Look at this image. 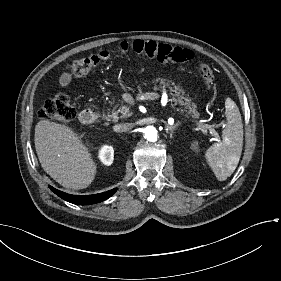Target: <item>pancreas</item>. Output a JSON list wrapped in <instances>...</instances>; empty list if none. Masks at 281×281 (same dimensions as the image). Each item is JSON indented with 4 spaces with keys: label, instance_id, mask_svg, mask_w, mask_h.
Masks as SVG:
<instances>
[{
    "label": "pancreas",
    "instance_id": "1",
    "mask_svg": "<svg viewBox=\"0 0 281 281\" xmlns=\"http://www.w3.org/2000/svg\"><path fill=\"white\" fill-rule=\"evenodd\" d=\"M169 86H170V83L168 81H166L165 79L160 80V88L165 89L166 87H169ZM169 89H170V92H171L170 94L173 96L172 99H171V101L174 102V104H172V107L177 105V103H179L180 105H184V106H186V108H189V110H190L189 112L192 113L193 118H199V112L196 110V105L191 104L189 101L183 100L184 97L180 95V87L179 86L169 87ZM125 107L126 106L123 105L118 110L112 111V114L106 116V119L108 121L117 122L120 118H126V117L131 116V113L124 112ZM119 113H121L120 116H119Z\"/></svg>",
    "mask_w": 281,
    "mask_h": 281
}]
</instances>
